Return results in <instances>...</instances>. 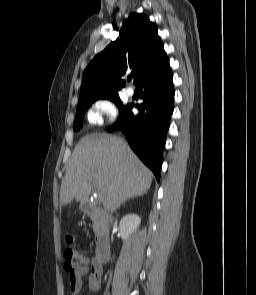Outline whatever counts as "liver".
I'll use <instances>...</instances> for the list:
<instances>
[{
	"label": "liver",
	"instance_id": "6515ba94",
	"mask_svg": "<svg viewBox=\"0 0 256 295\" xmlns=\"http://www.w3.org/2000/svg\"><path fill=\"white\" fill-rule=\"evenodd\" d=\"M151 182V171L121 138L89 134L80 139L67 164L60 201L63 206L74 199L85 203L96 187L112 213L127 199L145 194Z\"/></svg>",
	"mask_w": 256,
	"mask_h": 295
}]
</instances>
